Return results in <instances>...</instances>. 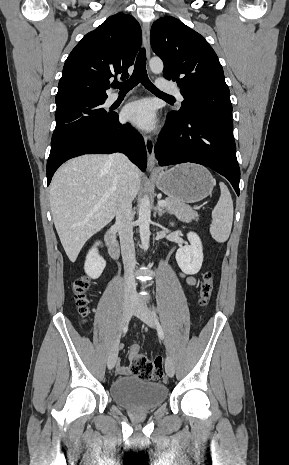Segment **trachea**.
<instances>
[{
  "mask_svg": "<svg viewBox=\"0 0 289 465\" xmlns=\"http://www.w3.org/2000/svg\"><path fill=\"white\" fill-rule=\"evenodd\" d=\"M139 83H141L146 89H148L149 91H151L153 93H156V94H159L161 96L173 99L172 96L159 91L151 83V81L149 80L148 75H147V71H146V51H145V49L140 50V52H139V54L137 56L134 71H133L131 77L128 80L124 81V82L115 81V82H113L111 84V86L113 88H119L121 92H124V91L131 90L133 87H135Z\"/></svg>",
  "mask_w": 289,
  "mask_h": 465,
  "instance_id": "obj_1",
  "label": "trachea"
}]
</instances>
